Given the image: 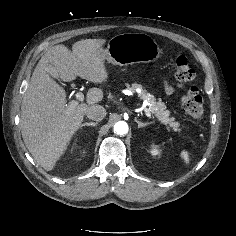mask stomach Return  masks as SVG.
I'll return each instance as SVG.
<instances>
[{"label":"stomach","mask_w":236,"mask_h":236,"mask_svg":"<svg viewBox=\"0 0 236 236\" xmlns=\"http://www.w3.org/2000/svg\"><path fill=\"white\" fill-rule=\"evenodd\" d=\"M102 53L109 63L127 66L156 61L162 50L148 34L123 33L112 37Z\"/></svg>","instance_id":"0dacf381"}]
</instances>
